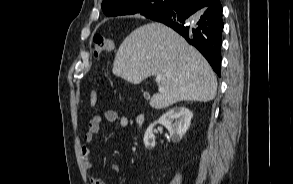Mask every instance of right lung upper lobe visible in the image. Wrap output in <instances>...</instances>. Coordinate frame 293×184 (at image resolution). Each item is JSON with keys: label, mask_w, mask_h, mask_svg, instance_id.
I'll return each mask as SVG.
<instances>
[{"label": "right lung upper lobe", "mask_w": 293, "mask_h": 184, "mask_svg": "<svg viewBox=\"0 0 293 184\" xmlns=\"http://www.w3.org/2000/svg\"><path fill=\"white\" fill-rule=\"evenodd\" d=\"M175 0H103L101 8L104 14L108 17L118 15L141 14L147 18L152 19L146 15V11L150 10L154 4L164 2L165 6L162 10L167 8ZM203 1L206 7L212 5L219 0H200ZM161 10V11H162Z\"/></svg>", "instance_id": "cb5924a9"}]
</instances>
